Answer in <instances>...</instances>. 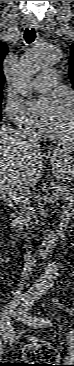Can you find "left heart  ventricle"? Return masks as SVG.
<instances>
[{"label":"left heart ventricle","instance_id":"left-heart-ventricle-1","mask_svg":"<svg viewBox=\"0 0 74 366\" xmlns=\"http://www.w3.org/2000/svg\"><path fill=\"white\" fill-rule=\"evenodd\" d=\"M61 106V112L51 132L62 137H67L72 131V115L68 104L63 103Z\"/></svg>","mask_w":74,"mask_h":366}]
</instances>
